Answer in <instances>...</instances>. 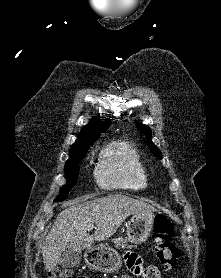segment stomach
<instances>
[{"label": "stomach", "instance_id": "0dacf381", "mask_svg": "<svg viewBox=\"0 0 221 278\" xmlns=\"http://www.w3.org/2000/svg\"><path fill=\"white\" fill-rule=\"evenodd\" d=\"M155 215L153 213L135 214L127 224V238L133 244L145 242L153 227ZM86 263L92 269L104 273H113L121 268L120 255L108 245L92 247L85 255Z\"/></svg>", "mask_w": 221, "mask_h": 278}]
</instances>
